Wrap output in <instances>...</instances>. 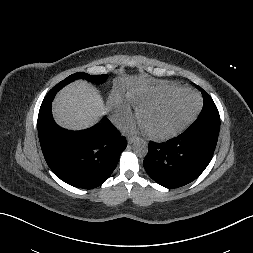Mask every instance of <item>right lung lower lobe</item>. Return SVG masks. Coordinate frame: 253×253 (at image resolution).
I'll list each match as a JSON object with an SVG mask.
<instances>
[{"instance_id":"1","label":"right lung lower lobe","mask_w":253,"mask_h":253,"mask_svg":"<svg viewBox=\"0 0 253 253\" xmlns=\"http://www.w3.org/2000/svg\"><path fill=\"white\" fill-rule=\"evenodd\" d=\"M57 92L49 91L39 110L38 135L44 158L54 174L67 184L96 188L115 169L127 146L126 139L106 117L99 126L82 131L59 127L51 113Z\"/></svg>"}]
</instances>
